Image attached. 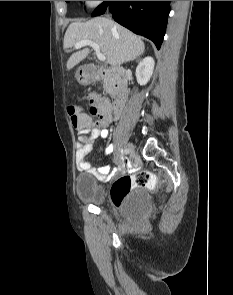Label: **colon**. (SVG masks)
Segmentation results:
<instances>
[{
	"label": "colon",
	"mask_w": 233,
	"mask_h": 295,
	"mask_svg": "<svg viewBox=\"0 0 233 295\" xmlns=\"http://www.w3.org/2000/svg\"><path fill=\"white\" fill-rule=\"evenodd\" d=\"M90 114L85 113L76 105L68 106L73 126L78 129L90 128L92 126L91 116H98L101 120L105 116V111L101 108L94 96L89 95ZM158 183L156 175L142 170L134 174H126L119 177L111 186L110 195L112 202L119 206L129 196L131 191L137 187L154 188Z\"/></svg>",
	"instance_id": "1"
}]
</instances>
